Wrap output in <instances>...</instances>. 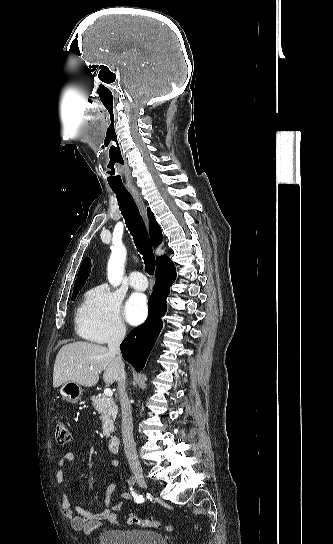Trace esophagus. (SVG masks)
Listing matches in <instances>:
<instances>
[{
	"instance_id": "34e87169",
	"label": "esophagus",
	"mask_w": 333,
	"mask_h": 544,
	"mask_svg": "<svg viewBox=\"0 0 333 544\" xmlns=\"http://www.w3.org/2000/svg\"><path fill=\"white\" fill-rule=\"evenodd\" d=\"M129 191H130L131 195L133 196L136 204L138 205V207H139L145 221L148 222L147 214H146V207H145L144 201H143L138 189L130 188Z\"/></svg>"
}]
</instances>
